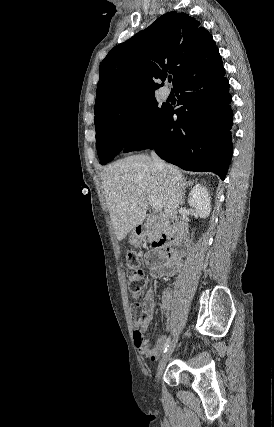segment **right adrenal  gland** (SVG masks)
<instances>
[{
	"instance_id": "obj_1",
	"label": "right adrenal gland",
	"mask_w": 274,
	"mask_h": 427,
	"mask_svg": "<svg viewBox=\"0 0 274 427\" xmlns=\"http://www.w3.org/2000/svg\"><path fill=\"white\" fill-rule=\"evenodd\" d=\"M185 184H186L185 188H188V186H194V184H197V180H193V182L189 180V182H185ZM181 202H183L184 204V198H181Z\"/></svg>"
}]
</instances>
